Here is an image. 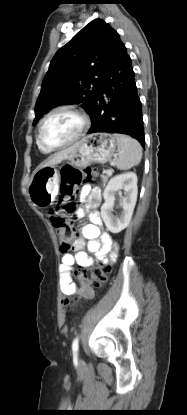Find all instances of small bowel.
I'll return each instance as SVG.
<instances>
[{
    "label": "small bowel",
    "mask_w": 187,
    "mask_h": 415,
    "mask_svg": "<svg viewBox=\"0 0 187 415\" xmlns=\"http://www.w3.org/2000/svg\"><path fill=\"white\" fill-rule=\"evenodd\" d=\"M81 199L87 203L86 207L77 210V216L82 218L89 213L90 223L84 225L71 245L72 253H65L60 264V288L64 295L70 296L76 293L73 282L72 267L77 264L80 267H89L94 260L90 254L102 261H114L117 257L118 244L113 237L102 230V219L98 206L102 202V191L99 187L84 185L80 189ZM85 247L87 251H85Z\"/></svg>",
    "instance_id": "1"
}]
</instances>
